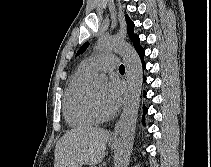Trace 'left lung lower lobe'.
Returning <instances> with one entry per match:
<instances>
[{
    "label": "left lung lower lobe",
    "instance_id": "0a47b994",
    "mask_svg": "<svg viewBox=\"0 0 211 167\" xmlns=\"http://www.w3.org/2000/svg\"><path fill=\"white\" fill-rule=\"evenodd\" d=\"M137 52H138V54H139V56H140V58H141V61H142V65H143V70L145 69V67H146V63L144 62V60H143V57H144V55H145V51H144V49L143 48H139V49H137L136 50ZM144 82H146V77H144ZM146 96V92H144V97ZM143 111H144V113H146L147 112V108L146 107H143Z\"/></svg>",
    "mask_w": 211,
    "mask_h": 167
}]
</instances>
